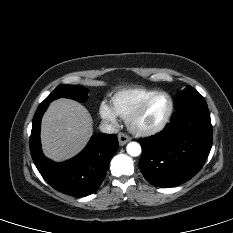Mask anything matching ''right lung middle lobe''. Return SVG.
I'll use <instances>...</instances> for the list:
<instances>
[{
	"mask_svg": "<svg viewBox=\"0 0 233 233\" xmlns=\"http://www.w3.org/2000/svg\"><path fill=\"white\" fill-rule=\"evenodd\" d=\"M60 97L71 98L78 101H85L88 97V90L82 86L61 85L55 88L52 93L43 101L50 103Z\"/></svg>",
	"mask_w": 233,
	"mask_h": 233,
	"instance_id": "dd1d6c3e",
	"label": "right lung middle lobe"
}]
</instances>
